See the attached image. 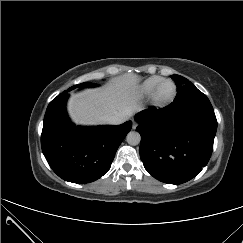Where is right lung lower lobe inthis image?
Returning a JSON list of instances; mask_svg holds the SVG:
<instances>
[{
	"label": "right lung lower lobe",
	"instance_id": "right-lung-lower-lobe-1",
	"mask_svg": "<svg viewBox=\"0 0 243 243\" xmlns=\"http://www.w3.org/2000/svg\"><path fill=\"white\" fill-rule=\"evenodd\" d=\"M84 82L63 91L48 105L41 146L52 170L62 179L85 184L108 172L115 153L131 130L132 122L96 127L75 126L69 119L65 104L67 93L80 87H96Z\"/></svg>",
	"mask_w": 243,
	"mask_h": 243
}]
</instances>
